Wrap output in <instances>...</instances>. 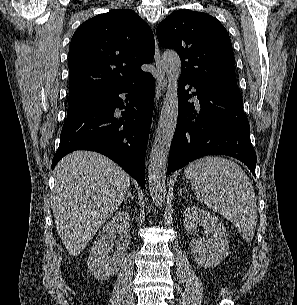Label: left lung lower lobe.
I'll return each mask as SVG.
<instances>
[{"label":"left lung lower lobe","mask_w":297,"mask_h":305,"mask_svg":"<svg viewBox=\"0 0 297 305\" xmlns=\"http://www.w3.org/2000/svg\"><path fill=\"white\" fill-rule=\"evenodd\" d=\"M186 84L191 86L188 90ZM192 87L196 92L189 94ZM192 96H197L198 105L188 102ZM178 107L168 174L197 158L222 154L242 161L255 176L257 158L236 80L196 83L180 76Z\"/></svg>","instance_id":"left-lung-lower-lobe-1"}]
</instances>
